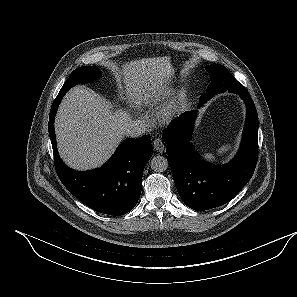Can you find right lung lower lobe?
Here are the masks:
<instances>
[{
  "label": "right lung lower lobe",
  "instance_id": "obj_1",
  "mask_svg": "<svg viewBox=\"0 0 297 297\" xmlns=\"http://www.w3.org/2000/svg\"><path fill=\"white\" fill-rule=\"evenodd\" d=\"M66 92H59L49 115V136L55 169L63 185L91 209L113 216L132 210L141 194L145 165L153 154L150 136L124 141L108 162L99 169L77 172L60 159L54 130V117Z\"/></svg>",
  "mask_w": 297,
  "mask_h": 297
}]
</instances>
